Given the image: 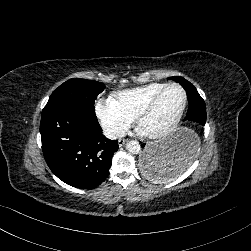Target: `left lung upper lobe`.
Listing matches in <instances>:
<instances>
[{"label":"left lung upper lobe","mask_w":251,"mask_h":251,"mask_svg":"<svg viewBox=\"0 0 251 251\" xmlns=\"http://www.w3.org/2000/svg\"><path fill=\"white\" fill-rule=\"evenodd\" d=\"M170 79L180 83L182 85V87L186 90L187 94L195 95L198 98H201L197 89L190 82H188L186 79H184L182 77H178V76L177 77H170Z\"/></svg>","instance_id":"1"}]
</instances>
